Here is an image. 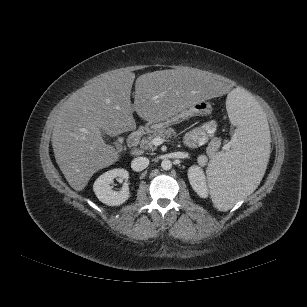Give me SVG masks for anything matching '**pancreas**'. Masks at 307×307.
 Returning <instances> with one entry per match:
<instances>
[{"mask_svg":"<svg viewBox=\"0 0 307 307\" xmlns=\"http://www.w3.org/2000/svg\"><path fill=\"white\" fill-rule=\"evenodd\" d=\"M172 136H176L175 130L173 128L163 127L153 133H149L148 136L143 137L140 141V147L145 150H154L156 149V146L153 144L152 140L155 137L169 138ZM219 145V141H212L206 149L208 156H213Z\"/></svg>","mask_w":307,"mask_h":307,"instance_id":"1","label":"pancreas"}]
</instances>
